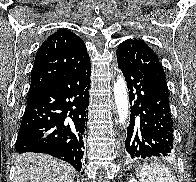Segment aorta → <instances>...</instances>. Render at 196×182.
I'll return each instance as SVG.
<instances>
[{
  "instance_id": "762f6f07",
  "label": "aorta",
  "mask_w": 196,
  "mask_h": 182,
  "mask_svg": "<svg viewBox=\"0 0 196 182\" xmlns=\"http://www.w3.org/2000/svg\"><path fill=\"white\" fill-rule=\"evenodd\" d=\"M114 99L119 115V122L122 125L126 124L128 118V94L125 79L119 75L116 83L114 84Z\"/></svg>"
}]
</instances>
